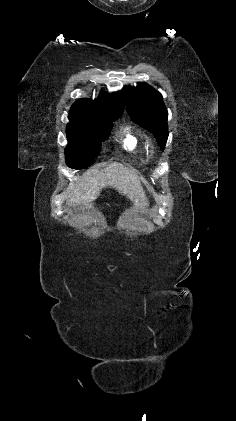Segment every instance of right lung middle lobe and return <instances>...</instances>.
Segmentation results:
<instances>
[{"mask_svg":"<svg viewBox=\"0 0 236 421\" xmlns=\"http://www.w3.org/2000/svg\"><path fill=\"white\" fill-rule=\"evenodd\" d=\"M122 113L123 110L71 108V122L66 128V164L75 169L90 166L100 152L101 142L108 139L113 122Z\"/></svg>","mask_w":236,"mask_h":421,"instance_id":"1","label":"right lung middle lobe"}]
</instances>
